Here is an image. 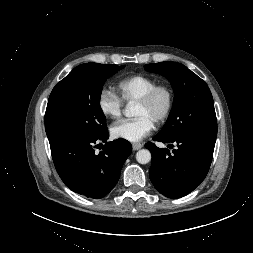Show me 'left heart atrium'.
I'll use <instances>...</instances> for the list:
<instances>
[{"label": "left heart atrium", "instance_id": "1", "mask_svg": "<svg viewBox=\"0 0 253 253\" xmlns=\"http://www.w3.org/2000/svg\"><path fill=\"white\" fill-rule=\"evenodd\" d=\"M154 129V122L146 117L139 116L132 120H122L111 126L110 132L116 139L129 142H139L147 137Z\"/></svg>", "mask_w": 253, "mask_h": 253}]
</instances>
